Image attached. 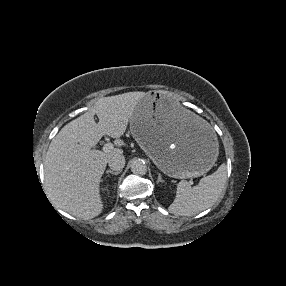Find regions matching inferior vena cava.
I'll list each match as a JSON object with an SVG mask.
<instances>
[{"label": "inferior vena cava", "instance_id": "602c4592", "mask_svg": "<svg viewBox=\"0 0 286 286\" xmlns=\"http://www.w3.org/2000/svg\"><path fill=\"white\" fill-rule=\"evenodd\" d=\"M108 164L112 170L120 171L125 166V158L123 155L115 154L114 156L110 158V160L108 161Z\"/></svg>", "mask_w": 286, "mask_h": 286}]
</instances>
